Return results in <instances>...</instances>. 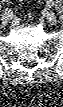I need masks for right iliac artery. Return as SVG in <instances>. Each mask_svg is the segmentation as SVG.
Returning <instances> with one entry per match:
<instances>
[{"mask_svg":"<svg viewBox=\"0 0 63 107\" xmlns=\"http://www.w3.org/2000/svg\"><path fill=\"white\" fill-rule=\"evenodd\" d=\"M4 16H6L7 18L12 19L13 18V13H12V11L10 9H6L4 11Z\"/></svg>","mask_w":63,"mask_h":107,"instance_id":"right-iliac-artery-1","label":"right iliac artery"}]
</instances>
